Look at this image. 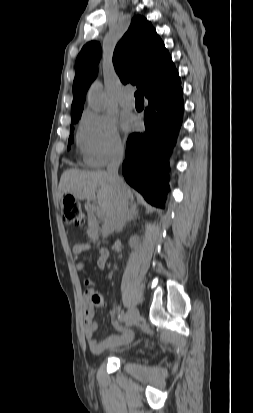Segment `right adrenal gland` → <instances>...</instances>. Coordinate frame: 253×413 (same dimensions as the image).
<instances>
[{
	"mask_svg": "<svg viewBox=\"0 0 253 413\" xmlns=\"http://www.w3.org/2000/svg\"><path fill=\"white\" fill-rule=\"evenodd\" d=\"M137 218H139V210L137 209L136 206H131V208L127 212V216L124 222L121 224V226L116 231L117 232L122 231L123 228L126 226L127 222L136 220Z\"/></svg>",
	"mask_w": 253,
	"mask_h": 413,
	"instance_id": "1",
	"label": "right adrenal gland"
}]
</instances>
